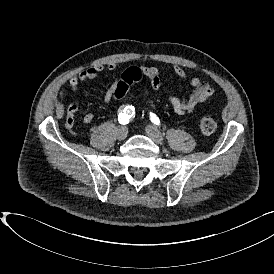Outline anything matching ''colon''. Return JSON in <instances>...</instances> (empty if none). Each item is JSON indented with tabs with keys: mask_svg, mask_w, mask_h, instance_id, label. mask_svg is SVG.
<instances>
[{
	"mask_svg": "<svg viewBox=\"0 0 274 274\" xmlns=\"http://www.w3.org/2000/svg\"><path fill=\"white\" fill-rule=\"evenodd\" d=\"M143 77L141 69L138 67H129L121 74V79L117 82L114 93L117 97L122 98L126 95L129 87H132L136 82L141 81ZM73 124V115L70 113L66 120L67 127ZM216 123L213 118L204 117L200 120V131L203 135H211L215 132Z\"/></svg>",
	"mask_w": 274,
	"mask_h": 274,
	"instance_id": "5ec220e1",
	"label": "colon"
}]
</instances>
